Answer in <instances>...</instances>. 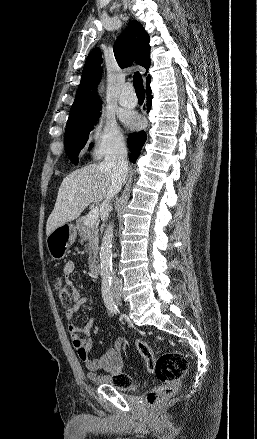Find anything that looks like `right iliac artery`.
Here are the masks:
<instances>
[{"instance_id": "82829eb1", "label": "right iliac artery", "mask_w": 257, "mask_h": 439, "mask_svg": "<svg viewBox=\"0 0 257 439\" xmlns=\"http://www.w3.org/2000/svg\"><path fill=\"white\" fill-rule=\"evenodd\" d=\"M102 296H103L104 303H105L107 309L111 313H115V314L118 313L119 309H118L117 305L115 304V302L113 300V296H112L110 285L104 284L102 286Z\"/></svg>"}]
</instances>
